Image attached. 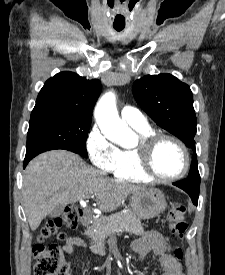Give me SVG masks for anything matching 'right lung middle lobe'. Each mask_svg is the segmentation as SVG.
Returning <instances> with one entry per match:
<instances>
[{
  "mask_svg": "<svg viewBox=\"0 0 225 275\" xmlns=\"http://www.w3.org/2000/svg\"><path fill=\"white\" fill-rule=\"evenodd\" d=\"M91 119L68 116L31 118L27 135L26 158L44 151L65 149L88 157L85 140Z\"/></svg>",
  "mask_w": 225,
  "mask_h": 275,
  "instance_id": "dd1d6c3e",
  "label": "right lung middle lobe"
}]
</instances>
